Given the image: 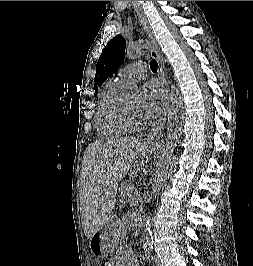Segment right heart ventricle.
<instances>
[{
    "label": "right heart ventricle",
    "mask_w": 253,
    "mask_h": 266,
    "mask_svg": "<svg viewBox=\"0 0 253 266\" xmlns=\"http://www.w3.org/2000/svg\"><path fill=\"white\" fill-rule=\"evenodd\" d=\"M126 85L116 78L108 81L99 94L95 114L96 130L101 138L112 139L131 131L118 117V104L125 94Z\"/></svg>",
    "instance_id": "right-heart-ventricle-1"
}]
</instances>
